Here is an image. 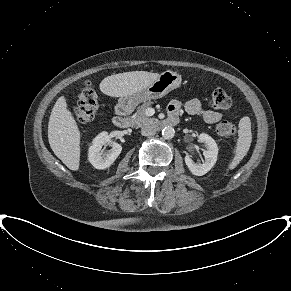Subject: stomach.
Listing matches in <instances>:
<instances>
[{
	"label": "stomach",
	"mask_w": 291,
	"mask_h": 291,
	"mask_svg": "<svg viewBox=\"0 0 291 291\" xmlns=\"http://www.w3.org/2000/svg\"><path fill=\"white\" fill-rule=\"evenodd\" d=\"M182 77L180 74L167 70L159 75L151 85L132 95L120 97L118 107L123 110H132L141 102L158 99L170 91L180 87Z\"/></svg>",
	"instance_id": "obj_1"
}]
</instances>
